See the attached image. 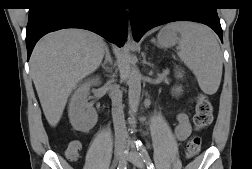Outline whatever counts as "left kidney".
Wrapping results in <instances>:
<instances>
[{"label":"left kidney","mask_w":252,"mask_h":169,"mask_svg":"<svg viewBox=\"0 0 252 169\" xmlns=\"http://www.w3.org/2000/svg\"><path fill=\"white\" fill-rule=\"evenodd\" d=\"M181 92H182V88L180 86H177V87L173 88V90H172V93H174L176 95L181 94Z\"/></svg>","instance_id":"1"}]
</instances>
